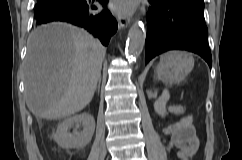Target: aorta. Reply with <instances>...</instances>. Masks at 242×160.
Masks as SVG:
<instances>
[{
	"label": "aorta",
	"instance_id": "1",
	"mask_svg": "<svg viewBox=\"0 0 242 160\" xmlns=\"http://www.w3.org/2000/svg\"><path fill=\"white\" fill-rule=\"evenodd\" d=\"M145 42V28L141 21H136L128 33L127 53L133 57L138 55Z\"/></svg>",
	"mask_w": 242,
	"mask_h": 160
}]
</instances>
